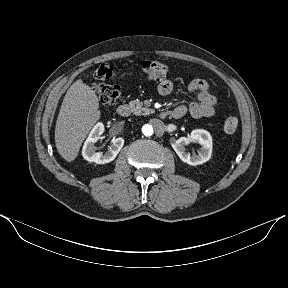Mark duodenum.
<instances>
[{"mask_svg": "<svg viewBox=\"0 0 288 288\" xmlns=\"http://www.w3.org/2000/svg\"><path fill=\"white\" fill-rule=\"evenodd\" d=\"M117 112L120 116L127 117L130 115V107L127 104H121L117 108ZM168 114L175 117V113L173 111L170 113H162L161 116L166 117Z\"/></svg>", "mask_w": 288, "mask_h": 288, "instance_id": "duodenum-1", "label": "duodenum"}]
</instances>
